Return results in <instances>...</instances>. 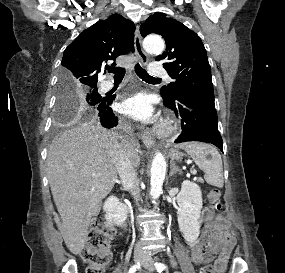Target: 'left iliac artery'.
Returning a JSON list of instances; mask_svg holds the SVG:
<instances>
[{
	"label": "left iliac artery",
	"instance_id": "obj_1",
	"mask_svg": "<svg viewBox=\"0 0 285 273\" xmlns=\"http://www.w3.org/2000/svg\"><path fill=\"white\" fill-rule=\"evenodd\" d=\"M155 267L159 273H161L163 270L167 269V266L163 263H157L156 262Z\"/></svg>",
	"mask_w": 285,
	"mask_h": 273
}]
</instances>
